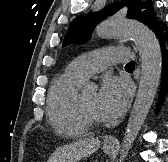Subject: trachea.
I'll use <instances>...</instances> for the list:
<instances>
[{
  "label": "trachea",
  "mask_w": 168,
  "mask_h": 162,
  "mask_svg": "<svg viewBox=\"0 0 168 162\" xmlns=\"http://www.w3.org/2000/svg\"><path fill=\"white\" fill-rule=\"evenodd\" d=\"M125 67H127V68L135 67V63H134V61H131V62H129L128 64H126Z\"/></svg>",
  "instance_id": "3493384b"
}]
</instances>
